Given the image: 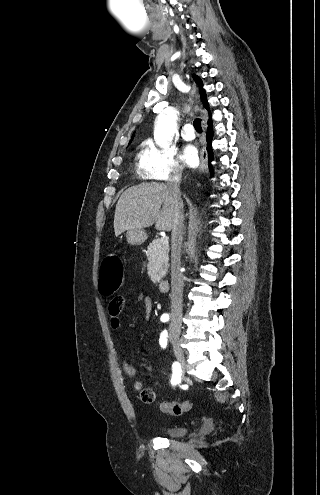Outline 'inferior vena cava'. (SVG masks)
<instances>
[{
  "instance_id": "1",
  "label": "inferior vena cava",
  "mask_w": 320,
  "mask_h": 495,
  "mask_svg": "<svg viewBox=\"0 0 320 495\" xmlns=\"http://www.w3.org/2000/svg\"><path fill=\"white\" fill-rule=\"evenodd\" d=\"M182 171L174 169L167 183L173 198L180 203L172 226V245H171V324L170 332L179 331L182 319V302H183V275L180 272L181 264V245L183 240V205L179 185Z\"/></svg>"
}]
</instances>
